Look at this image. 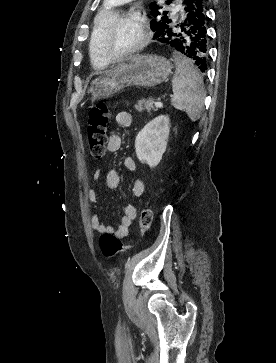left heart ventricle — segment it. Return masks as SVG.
Masks as SVG:
<instances>
[{
  "label": "left heart ventricle",
  "instance_id": "b2bd125f",
  "mask_svg": "<svg viewBox=\"0 0 276 363\" xmlns=\"http://www.w3.org/2000/svg\"><path fill=\"white\" fill-rule=\"evenodd\" d=\"M139 38V26L132 21H122L106 33L104 46L109 54L120 55L132 48Z\"/></svg>",
  "mask_w": 276,
  "mask_h": 363
}]
</instances>
